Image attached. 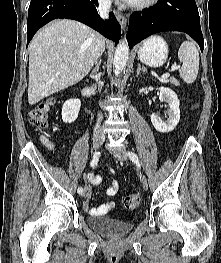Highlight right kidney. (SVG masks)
I'll list each match as a JSON object with an SVG mask.
<instances>
[{"instance_id":"obj_1","label":"right kidney","mask_w":221,"mask_h":263,"mask_svg":"<svg viewBox=\"0 0 221 263\" xmlns=\"http://www.w3.org/2000/svg\"><path fill=\"white\" fill-rule=\"evenodd\" d=\"M81 101L79 99H69L65 101L62 107V120L65 123H73L80 111Z\"/></svg>"}]
</instances>
